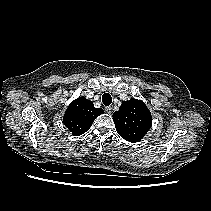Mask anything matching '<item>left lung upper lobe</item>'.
<instances>
[{"label": "left lung upper lobe", "instance_id": "1", "mask_svg": "<svg viewBox=\"0 0 211 211\" xmlns=\"http://www.w3.org/2000/svg\"><path fill=\"white\" fill-rule=\"evenodd\" d=\"M113 121L118 134L129 142L140 141L152 125L150 111L138 99L122 102L119 110L113 114Z\"/></svg>", "mask_w": 211, "mask_h": 211}]
</instances>
